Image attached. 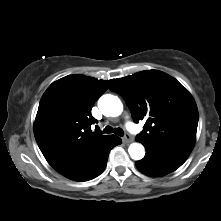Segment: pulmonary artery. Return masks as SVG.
Listing matches in <instances>:
<instances>
[{"mask_svg": "<svg viewBox=\"0 0 221 221\" xmlns=\"http://www.w3.org/2000/svg\"><path fill=\"white\" fill-rule=\"evenodd\" d=\"M126 127L132 133H138L139 132V128L135 124H133L132 122H127Z\"/></svg>", "mask_w": 221, "mask_h": 221, "instance_id": "e3ab8cb5", "label": "pulmonary artery"}]
</instances>
